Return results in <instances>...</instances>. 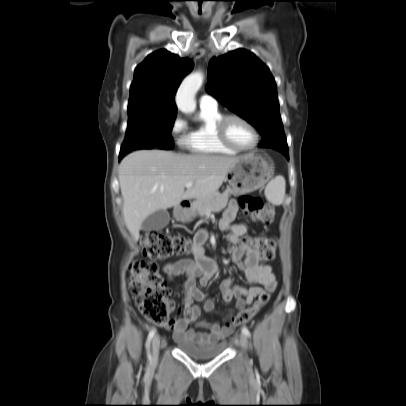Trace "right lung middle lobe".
Segmentation results:
<instances>
[{
    "mask_svg": "<svg viewBox=\"0 0 406 406\" xmlns=\"http://www.w3.org/2000/svg\"><path fill=\"white\" fill-rule=\"evenodd\" d=\"M176 114L128 112V126L119 157L141 148L172 149L171 130Z\"/></svg>",
    "mask_w": 406,
    "mask_h": 406,
    "instance_id": "1",
    "label": "right lung middle lobe"
}]
</instances>
